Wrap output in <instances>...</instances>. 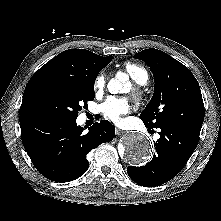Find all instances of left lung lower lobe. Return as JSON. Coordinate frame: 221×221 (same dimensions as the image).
Returning <instances> with one entry per match:
<instances>
[{
	"label": "left lung lower lobe",
	"mask_w": 221,
	"mask_h": 221,
	"mask_svg": "<svg viewBox=\"0 0 221 221\" xmlns=\"http://www.w3.org/2000/svg\"><path fill=\"white\" fill-rule=\"evenodd\" d=\"M159 135L152 160L142 167L127 168L129 177L144 187H155L175 177L185 166L199 141L198 134L173 125L161 127Z\"/></svg>",
	"instance_id": "0a47b994"
}]
</instances>
